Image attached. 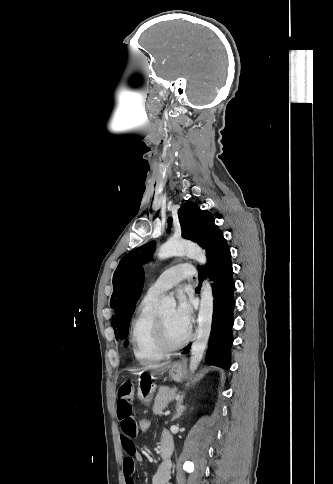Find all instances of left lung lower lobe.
<instances>
[{"label": "left lung lower lobe", "mask_w": 333, "mask_h": 484, "mask_svg": "<svg viewBox=\"0 0 333 484\" xmlns=\"http://www.w3.org/2000/svg\"><path fill=\"white\" fill-rule=\"evenodd\" d=\"M202 248L207 251L208 263L205 267H198L199 287L203 275H208L213 281V317L206 362L225 369L230 366V348L233 343L232 325L235 301L233 292V269L231 254L222 231L209 222ZM205 271V272H204ZM188 348L184 351L186 354Z\"/></svg>", "instance_id": "obj_1"}]
</instances>
